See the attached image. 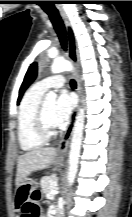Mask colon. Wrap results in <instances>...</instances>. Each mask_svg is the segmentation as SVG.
Listing matches in <instances>:
<instances>
[{
	"label": "colon",
	"instance_id": "5ec220e1",
	"mask_svg": "<svg viewBox=\"0 0 132 217\" xmlns=\"http://www.w3.org/2000/svg\"><path fill=\"white\" fill-rule=\"evenodd\" d=\"M26 211L31 217H39L40 206H39V193L37 191L31 193L26 199Z\"/></svg>",
	"mask_w": 132,
	"mask_h": 217
}]
</instances>
